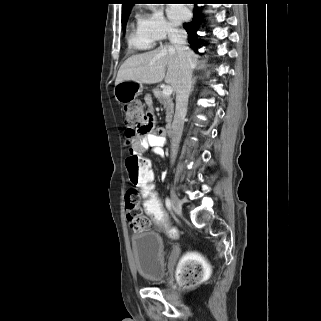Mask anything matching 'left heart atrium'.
Masks as SVG:
<instances>
[{
	"instance_id": "obj_1",
	"label": "left heart atrium",
	"mask_w": 321,
	"mask_h": 321,
	"mask_svg": "<svg viewBox=\"0 0 321 321\" xmlns=\"http://www.w3.org/2000/svg\"><path fill=\"white\" fill-rule=\"evenodd\" d=\"M169 19L173 24H179L187 17V10L179 4H172L167 9Z\"/></svg>"
}]
</instances>
